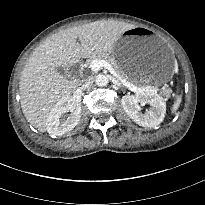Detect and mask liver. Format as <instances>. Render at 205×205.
<instances>
[{
	"label": "liver",
	"instance_id": "1",
	"mask_svg": "<svg viewBox=\"0 0 205 205\" xmlns=\"http://www.w3.org/2000/svg\"><path fill=\"white\" fill-rule=\"evenodd\" d=\"M133 27L118 21H96L62 30L40 44L28 59L19 82L21 107L27 121L45 132L55 104L76 89L77 83L57 72V67L111 51L122 33Z\"/></svg>",
	"mask_w": 205,
	"mask_h": 205
}]
</instances>
